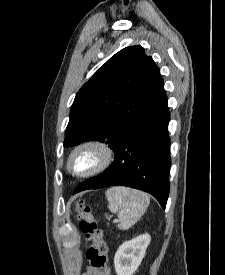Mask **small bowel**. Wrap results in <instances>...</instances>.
Returning a JSON list of instances; mask_svg holds the SVG:
<instances>
[{
    "instance_id": "1",
    "label": "small bowel",
    "mask_w": 225,
    "mask_h": 275,
    "mask_svg": "<svg viewBox=\"0 0 225 275\" xmlns=\"http://www.w3.org/2000/svg\"><path fill=\"white\" fill-rule=\"evenodd\" d=\"M82 275H102V273L92 267H89Z\"/></svg>"
}]
</instances>
